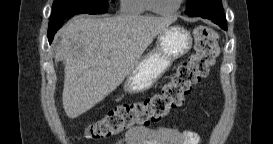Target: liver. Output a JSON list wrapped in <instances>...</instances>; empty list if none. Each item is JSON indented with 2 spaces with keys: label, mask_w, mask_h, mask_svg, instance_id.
I'll list each match as a JSON object with an SVG mask.
<instances>
[{
  "label": "liver",
  "mask_w": 273,
  "mask_h": 144,
  "mask_svg": "<svg viewBox=\"0 0 273 144\" xmlns=\"http://www.w3.org/2000/svg\"><path fill=\"white\" fill-rule=\"evenodd\" d=\"M173 18L121 15L73 17L59 31L55 62L65 68L62 102L77 118L114 91Z\"/></svg>",
  "instance_id": "liver-1"
}]
</instances>
